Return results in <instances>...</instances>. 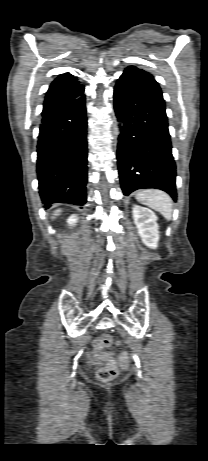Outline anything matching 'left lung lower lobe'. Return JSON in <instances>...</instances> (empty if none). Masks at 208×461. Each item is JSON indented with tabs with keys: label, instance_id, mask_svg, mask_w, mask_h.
<instances>
[{
	"label": "left lung lower lobe",
	"instance_id": "1",
	"mask_svg": "<svg viewBox=\"0 0 208 461\" xmlns=\"http://www.w3.org/2000/svg\"><path fill=\"white\" fill-rule=\"evenodd\" d=\"M114 109L123 122L117 159L124 195L156 188L176 200V165L159 84L141 69H125L114 88Z\"/></svg>",
	"mask_w": 208,
	"mask_h": 461
}]
</instances>
